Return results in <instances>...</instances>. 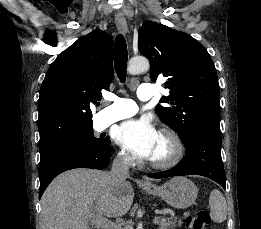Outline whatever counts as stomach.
<instances>
[{"mask_svg":"<svg viewBox=\"0 0 261 229\" xmlns=\"http://www.w3.org/2000/svg\"><path fill=\"white\" fill-rule=\"evenodd\" d=\"M143 189L149 195L162 197L163 201H166L174 209H188L194 205L198 195L196 185L186 177H174L162 187L153 185V187H143Z\"/></svg>","mask_w":261,"mask_h":229,"instance_id":"stomach-1","label":"stomach"}]
</instances>
